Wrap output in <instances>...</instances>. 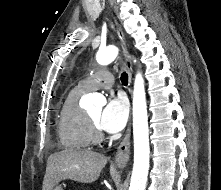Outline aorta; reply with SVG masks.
<instances>
[{"label":"aorta","instance_id":"762f6f07","mask_svg":"<svg viewBox=\"0 0 221 190\" xmlns=\"http://www.w3.org/2000/svg\"><path fill=\"white\" fill-rule=\"evenodd\" d=\"M116 46H108L100 49L96 54V60L100 65H108L118 56ZM90 103L105 102L104 97L98 94L87 96ZM133 138H134V164L129 190H145L149 170V128L144 89V79L141 73H137L133 90Z\"/></svg>","mask_w":221,"mask_h":190}]
</instances>
